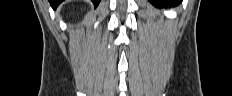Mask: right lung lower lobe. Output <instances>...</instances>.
Wrapping results in <instances>:
<instances>
[{
	"mask_svg": "<svg viewBox=\"0 0 232 96\" xmlns=\"http://www.w3.org/2000/svg\"><path fill=\"white\" fill-rule=\"evenodd\" d=\"M64 0H49L51 6L53 7V9H56L57 6ZM92 2L94 3L95 7L98 6L100 0H92Z\"/></svg>",
	"mask_w": 232,
	"mask_h": 96,
	"instance_id": "98d812e1",
	"label": "right lung lower lobe"
}]
</instances>
